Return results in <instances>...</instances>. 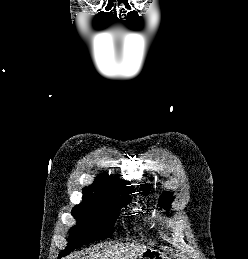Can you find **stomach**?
Wrapping results in <instances>:
<instances>
[{
	"label": "stomach",
	"mask_w": 248,
	"mask_h": 259,
	"mask_svg": "<svg viewBox=\"0 0 248 259\" xmlns=\"http://www.w3.org/2000/svg\"><path fill=\"white\" fill-rule=\"evenodd\" d=\"M134 259H170L162 252L155 249H147L146 251L140 253Z\"/></svg>",
	"instance_id": "obj_1"
}]
</instances>
